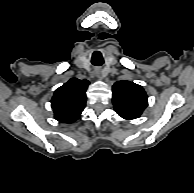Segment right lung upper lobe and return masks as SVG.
Returning a JSON list of instances; mask_svg holds the SVG:
<instances>
[{
	"label": "right lung upper lobe",
	"instance_id": "right-lung-upper-lobe-1",
	"mask_svg": "<svg viewBox=\"0 0 194 193\" xmlns=\"http://www.w3.org/2000/svg\"><path fill=\"white\" fill-rule=\"evenodd\" d=\"M88 85L87 80L72 78L55 91L51 104L58 121L72 123L80 117Z\"/></svg>",
	"mask_w": 194,
	"mask_h": 193
}]
</instances>
